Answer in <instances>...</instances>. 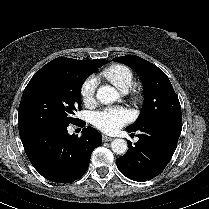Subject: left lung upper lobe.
I'll list each match as a JSON object with an SVG mask.
<instances>
[{"mask_svg":"<svg viewBox=\"0 0 209 209\" xmlns=\"http://www.w3.org/2000/svg\"><path fill=\"white\" fill-rule=\"evenodd\" d=\"M113 60L135 70L144 86V104L141 113L127 129L139 130L162 123L182 124L178 96L161 69L136 55H126Z\"/></svg>","mask_w":209,"mask_h":209,"instance_id":"1","label":"left lung upper lobe"}]
</instances>
